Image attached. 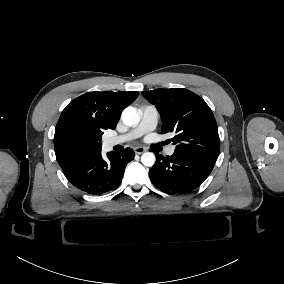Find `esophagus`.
<instances>
[{
    "label": "esophagus",
    "instance_id": "obj_1",
    "mask_svg": "<svg viewBox=\"0 0 284 284\" xmlns=\"http://www.w3.org/2000/svg\"><path fill=\"white\" fill-rule=\"evenodd\" d=\"M133 150L136 154H142L146 151L145 147H134Z\"/></svg>",
    "mask_w": 284,
    "mask_h": 284
}]
</instances>
